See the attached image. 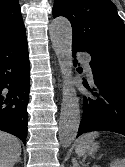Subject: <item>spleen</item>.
Instances as JSON below:
<instances>
[{
    "label": "spleen",
    "mask_w": 125,
    "mask_h": 167,
    "mask_svg": "<svg viewBox=\"0 0 125 167\" xmlns=\"http://www.w3.org/2000/svg\"><path fill=\"white\" fill-rule=\"evenodd\" d=\"M98 132H91L82 135L75 142V152L78 156H84L89 151V146L98 137ZM110 167H125V159H116L110 163Z\"/></svg>",
    "instance_id": "1"
}]
</instances>
